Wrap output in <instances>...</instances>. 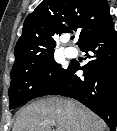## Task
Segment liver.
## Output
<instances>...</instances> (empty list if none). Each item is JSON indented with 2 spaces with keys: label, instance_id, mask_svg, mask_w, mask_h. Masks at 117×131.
<instances>
[{
  "label": "liver",
  "instance_id": "liver-1",
  "mask_svg": "<svg viewBox=\"0 0 117 131\" xmlns=\"http://www.w3.org/2000/svg\"><path fill=\"white\" fill-rule=\"evenodd\" d=\"M52 121L56 131H104L102 120L81 103L59 97L41 99L22 108L13 131H51Z\"/></svg>",
  "mask_w": 117,
  "mask_h": 131
}]
</instances>
